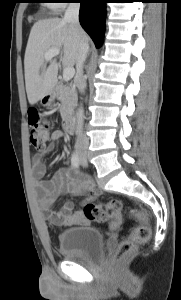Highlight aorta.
<instances>
[{
    "label": "aorta",
    "mask_w": 181,
    "mask_h": 300,
    "mask_svg": "<svg viewBox=\"0 0 181 300\" xmlns=\"http://www.w3.org/2000/svg\"><path fill=\"white\" fill-rule=\"evenodd\" d=\"M84 121V111L82 107H79L76 113V133L79 134L82 131Z\"/></svg>",
    "instance_id": "762f6f07"
}]
</instances>
